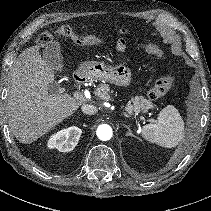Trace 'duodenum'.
Here are the masks:
<instances>
[{"mask_svg":"<svg viewBox=\"0 0 211 211\" xmlns=\"http://www.w3.org/2000/svg\"><path fill=\"white\" fill-rule=\"evenodd\" d=\"M79 81H82V78H79Z\"/></svg>","mask_w":211,"mask_h":211,"instance_id":"obj_1","label":"duodenum"}]
</instances>
